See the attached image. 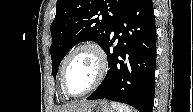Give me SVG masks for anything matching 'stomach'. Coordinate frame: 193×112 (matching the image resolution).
Here are the masks:
<instances>
[{
    "mask_svg": "<svg viewBox=\"0 0 193 112\" xmlns=\"http://www.w3.org/2000/svg\"><path fill=\"white\" fill-rule=\"evenodd\" d=\"M77 112H114V110L106 100H99L93 101L90 105Z\"/></svg>",
    "mask_w": 193,
    "mask_h": 112,
    "instance_id": "1",
    "label": "stomach"
}]
</instances>
